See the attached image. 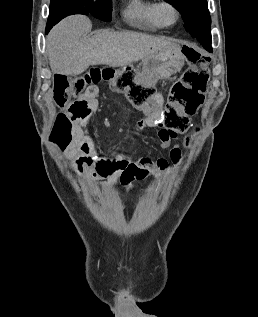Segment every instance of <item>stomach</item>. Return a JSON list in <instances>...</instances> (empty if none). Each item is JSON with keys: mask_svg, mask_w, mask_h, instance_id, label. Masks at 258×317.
Here are the masks:
<instances>
[{"mask_svg": "<svg viewBox=\"0 0 258 317\" xmlns=\"http://www.w3.org/2000/svg\"><path fill=\"white\" fill-rule=\"evenodd\" d=\"M183 46H176L171 50H159V52H152L145 58H142V70L141 74H158L162 78H167L170 74L178 72L185 64V56L182 50ZM129 68H134L132 64H129Z\"/></svg>", "mask_w": 258, "mask_h": 317, "instance_id": "1", "label": "stomach"}]
</instances>
